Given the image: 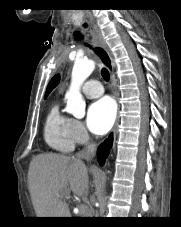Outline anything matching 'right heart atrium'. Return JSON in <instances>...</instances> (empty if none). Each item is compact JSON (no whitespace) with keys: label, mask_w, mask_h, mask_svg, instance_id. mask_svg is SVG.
<instances>
[{"label":"right heart atrium","mask_w":181,"mask_h":227,"mask_svg":"<svg viewBox=\"0 0 181 227\" xmlns=\"http://www.w3.org/2000/svg\"><path fill=\"white\" fill-rule=\"evenodd\" d=\"M70 134L75 144L86 145L90 141V136L83 123L77 119L70 121Z\"/></svg>","instance_id":"1"}]
</instances>
